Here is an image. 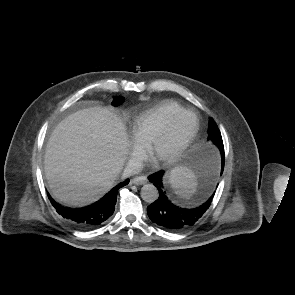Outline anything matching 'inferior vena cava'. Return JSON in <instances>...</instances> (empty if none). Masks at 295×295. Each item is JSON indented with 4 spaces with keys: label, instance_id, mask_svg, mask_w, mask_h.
<instances>
[{
    "label": "inferior vena cava",
    "instance_id": "602c4592",
    "mask_svg": "<svg viewBox=\"0 0 295 295\" xmlns=\"http://www.w3.org/2000/svg\"><path fill=\"white\" fill-rule=\"evenodd\" d=\"M142 170V163L137 160H129L127 166L124 169L123 175L130 177L133 174H137Z\"/></svg>",
    "mask_w": 295,
    "mask_h": 295
}]
</instances>
